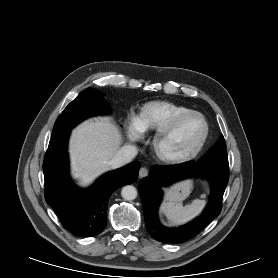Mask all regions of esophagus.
Returning <instances> with one entry per match:
<instances>
[{
    "label": "esophagus",
    "instance_id": "esophagus-1",
    "mask_svg": "<svg viewBox=\"0 0 278 278\" xmlns=\"http://www.w3.org/2000/svg\"><path fill=\"white\" fill-rule=\"evenodd\" d=\"M147 176H148V169L145 167H141L139 170V178H143Z\"/></svg>",
    "mask_w": 278,
    "mask_h": 278
}]
</instances>
